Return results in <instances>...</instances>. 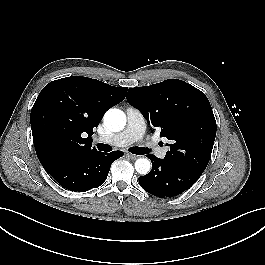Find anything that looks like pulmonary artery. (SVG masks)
Here are the masks:
<instances>
[{
    "label": "pulmonary artery",
    "instance_id": "pulmonary-artery-1",
    "mask_svg": "<svg viewBox=\"0 0 265 265\" xmlns=\"http://www.w3.org/2000/svg\"><path fill=\"white\" fill-rule=\"evenodd\" d=\"M127 126L119 134L112 136L108 141L110 144L115 146H128L134 142L140 141L145 132V121L141 112L133 107H127ZM105 141L104 139H100ZM156 155L159 158H164L166 155L165 148H157Z\"/></svg>",
    "mask_w": 265,
    "mask_h": 265
}]
</instances>
